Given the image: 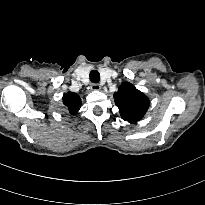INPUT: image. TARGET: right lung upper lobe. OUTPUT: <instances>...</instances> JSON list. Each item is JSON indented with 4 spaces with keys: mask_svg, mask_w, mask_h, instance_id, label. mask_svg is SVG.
Instances as JSON below:
<instances>
[{
    "mask_svg": "<svg viewBox=\"0 0 205 205\" xmlns=\"http://www.w3.org/2000/svg\"><path fill=\"white\" fill-rule=\"evenodd\" d=\"M63 104L69 110L70 114L74 115L81 107V99L78 94L68 92L63 95Z\"/></svg>",
    "mask_w": 205,
    "mask_h": 205,
    "instance_id": "cb5924a9",
    "label": "right lung upper lobe"
}]
</instances>
